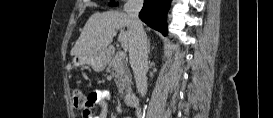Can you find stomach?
Masks as SVG:
<instances>
[{"label":"stomach","mask_w":273,"mask_h":118,"mask_svg":"<svg viewBox=\"0 0 273 118\" xmlns=\"http://www.w3.org/2000/svg\"><path fill=\"white\" fill-rule=\"evenodd\" d=\"M107 58L108 57L105 52H99L91 55H76L72 60V65L74 67L89 65L96 72H101L104 70L107 64Z\"/></svg>","instance_id":"obj_1"}]
</instances>
